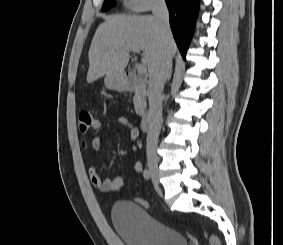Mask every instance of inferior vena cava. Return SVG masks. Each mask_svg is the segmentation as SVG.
<instances>
[{"instance_id": "602c4592", "label": "inferior vena cava", "mask_w": 283, "mask_h": 245, "mask_svg": "<svg viewBox=\"0 0 283 245\" xmlns=\"http://www.w3.org/2000/svg\"><path fill=\"white\" fill-rule=\"evenodd\" d=\"M152 12L159 25L162 41L165 43L164 53L150 74L148 84L149 127L146 140L147 158L157 160V144L162 124V92L165 81L170 76L172 57L167 47L172 37L169 26V12L164 0H153Z\"/></svg>"}]
</instances>
